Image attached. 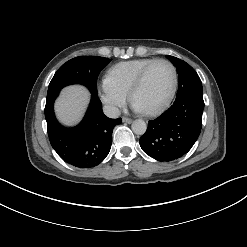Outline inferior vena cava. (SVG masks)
Here are the masks:
<instances>
[{"instance_id":"1","label":"inferior vena cava","mask_w":247,"mask_h":247,"mask_svg":"<svg viewBox=\"0 0 247 247\" xmlns=\"http://www.w3.org/2000/svg\"><path fill=\"white\" fill-rule=\"evenodd\" d=\"M104 114L109 118H117L120 116V110L112 105H106L103 107Z\"/></svg>"}]
</instances>
